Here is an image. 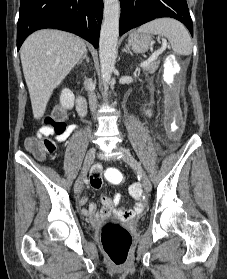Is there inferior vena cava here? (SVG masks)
Returning a JSON list of instances; mask_svg holds the SVG:
<instances>
[{
    "label": "inferior vena cava",
    "mask_w": 227,
    "mask_h": 279,
    "mask_svg": "<svg viewBox=\"0 0 227 279\" xmlns=\"http://www.w3.org/2000/svg\"><path fill=\"white\" fill-rule=\"evenodd\" d=\"M84 85L87 87V89L89 90V103H90V108L92 111H95L97 108V99L96 96L93 92L94 90V85L92 83V81L90 80H85Z\"/></svg>",
    "instance_id": "inferior-vena-cava-1"
}]
</instances>
